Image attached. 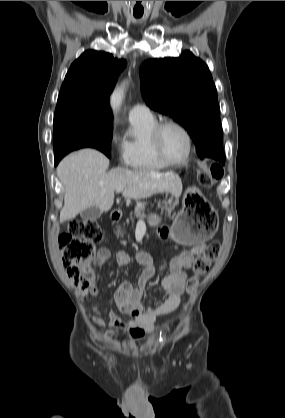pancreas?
<instances>
[{
    "label": "pancreas",
    "mask_w": 285,
    "mask_h": 418,
    "mask_svg": "<svg viewBox=\"0 0 285 418\" xmlns=\"http://www.w3.org/2000/svg\"><path fill=\"white\" fill-rule=\"evenodd\" d=\"M157 208H160L161 210H165V215L169 218H173L175 214H173V210L175 208V204L174 203H166V202H158L157 203ZM144 211H145V204L136 207L134 210V215L136 217H141L144 215Z\"/></svg>",
    "instance_id": "pancreas-1"
}]
</instances>
